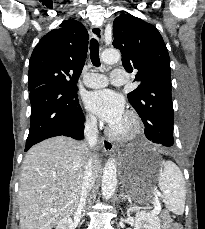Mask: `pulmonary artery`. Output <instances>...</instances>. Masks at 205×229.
<instances>
[{"instance_id":"pulmonary-artery-1","label":"pulmonary artery","mask_w":205,"mask_h":229,"mask_svg":"<svg viewBox=\"0 0 205 229\" xmlns=\"http://www.w3.org/2000/svg\"><path fill=\"white\" fill-rule=\"evenodd\" d=\"M110 81L115 85L125 84L127 82V74L125 70L121 68L113 69L111 72ZM84 83L90 88H101L107 85L108 79L103 74L90 72L85 76Z\"/></svg>"}]
</instances>
